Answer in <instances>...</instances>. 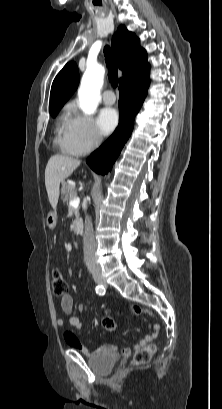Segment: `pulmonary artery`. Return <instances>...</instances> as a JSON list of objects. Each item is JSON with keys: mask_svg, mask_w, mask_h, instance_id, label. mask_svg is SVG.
<instances>
[{"mask_svg": "<svg viewBox=\"0 0 222 409\" xmlns=\"http://www.w3.org/2000/svg\"><path fill=\"white\" fill-rule=\"evenodd\" d=\"M115 101H116L115 95L111 90H106L103 93V102L106 105H112L115 103Z\"/></svg>", "mask_w": 222, "mask_h": 409, "instance_id": "obj_1", "label": "pulmonary artery"}]
</instances>
